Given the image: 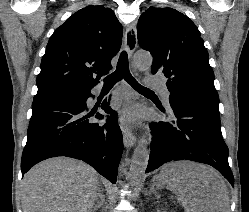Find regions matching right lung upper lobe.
Instances as JSON below:
<instances>
[{"mask_svg":"<svg viewBox=\"0 0 249 212\" xmlns=\"http://www.w3.org/2000/svg\"><path fill=\"white\" fill-rule=\"evenodd\" d=\"M122 34L109 8L91 5L74 13L49 39L35 98L92 89L112 69L111 59L121 47Z\"/></svg>","mask_w":249,"mask_h":212,"instance_id":"obj_1","label":"right lung upper lobe"}]
</instances>
